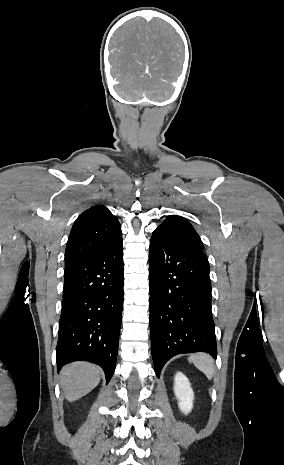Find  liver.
<instances>
[{
    "mask_svg": "<svg viewBox=\"0 0 284 465\" xmlns=\"http://www.w3.org/2000/svg\"><path fill=\"white\" fill-rule=\"evenodd\" d=\"M101 369L91 363H71L66 365L61 375V387L64 389L65 399L69 403L78 401L100 381Z\"/></svg>",
    "mask_w": 284,
    "mask_h": 465,
    "instance_id": "obj_1",
    "label": "liver"
}]
</instances>
